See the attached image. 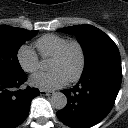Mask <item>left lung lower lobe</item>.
Here are the masks:
<instances>
[{
  "instance_id": "1",
  "label": "left lung lower lobe",
  "mask_w": 128,
  "mask_h": 128,
  "mask_svg": "<svg viewBox=\"0 0 128 128\" xmlns=\"http://www.w3.org/2000/svg\"><path fill=\"white\" fill-rule=\"evenodd\" d=\"M121 80V61L96 64L82 74L76 86L62 90L68 102L57 117L72 128H88L101 122L114 105Z\"/></svg>"
}]
</instances>
